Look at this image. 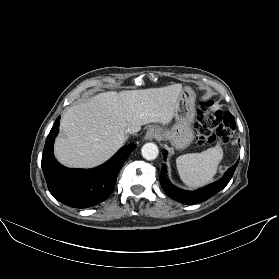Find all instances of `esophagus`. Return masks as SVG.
<instances>
[{
  "label": "esophagus",
  "mask_w": 279,
  "mask_h": 279,
  "mask_svg": "<svg viewBox=\"0 0 279 279\" xmlns=\"http://www.w3.org/2000/svg\"><path fill=\"white\" fill-rule=\"evenodd\" d=\"M159 136V132L155 127L149 128L145 134V140H153Z\"/></svg>",
  "instance_id": "34e87169"
}]
</instances>
